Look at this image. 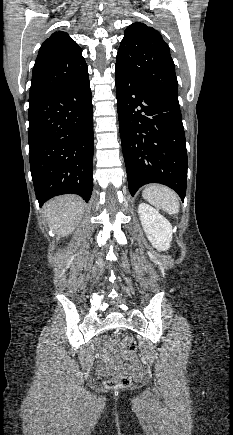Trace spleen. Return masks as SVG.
<instances>
[{"label":"spleen","instance_id":"1","mask_svg":"<svg viewBox=\"0 0 233 435\" xmlns=\"http://www.w3.org/2000/svg\"><path fill=\"white\" fill-rule=\"evenodd\" d=\"M142 196L150 204L158 209L164 210L169 214H177L180 210L178 195L170 188L160 185L151 184L142 192Z\"/></svg>","mask_w":233,"mask_h":435}]
</instances>
